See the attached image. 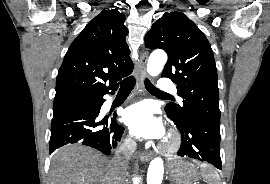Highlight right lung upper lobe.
Listing matches in <instances>:
<instances>
[{
    "label": "right lung upper lobe",
    "instance_id": "1",
    "mask_svg": "<svg viewBox=\"0 0 270 184\" xmlns=\"http://www.w3.org/2000/svg\"><path fill=\"white\" fill-rule=\"evenodd\" d=\"M124 21L123 13L111 9L103 10L86 25L58 71L55 98L116 90V81L131 74Z\"/></svg>",
    "mask_w": 270,
    "mask_h": 184
}]
</instances>
